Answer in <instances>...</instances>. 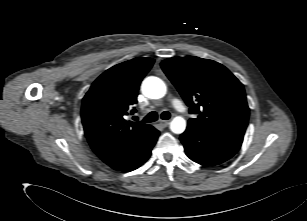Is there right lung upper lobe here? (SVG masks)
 <instances>
[{
    "label": "right lung upper lobe",
    "instance_id": "right-lung-upper-lobe-1",
    "mask_svg": "<svg viewBox=\"0 0 307 221\" xmlns=\"http://www.w3.org/2000/svg\"><path fill=\"white\" fill-rule=\"evenodd\" d=\"M154 63L151 58H134L117 64L92 84L82 101L81 117L87 140L106 164L117 161L152 130L141 122L126 121L140 83Z\"/></svg>",
    "mask_w": 307,
    "mask_h": 221
}]
</instances>
